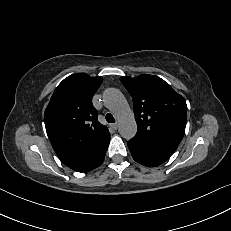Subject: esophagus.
I'll use <instances>...</instances> for the list:
<instances>
[{"label": "esophagus", "mask_w": 231, "mask_h": 231, "mask_svg": "<svg viewBox=\"0 0 231 231\" xmlns=\"http://www.w3.org/2000/svg\"><path fill=\"white\" fill-rule=\"evenodd\" d=\"M111 127H112L114 130H116V129L118 128V124H117V123L111 124Z\"/></svg>", "instance_id": "1"}]
</instances>
